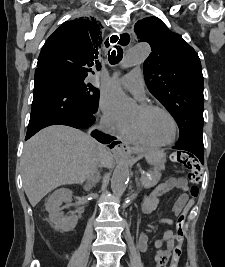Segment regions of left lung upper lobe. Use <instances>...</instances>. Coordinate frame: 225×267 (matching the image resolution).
<instances>
[{"label":"left lung upper lobe","mask_w":225,"mask_h":267,"mask_svg":"<svg viewBox=\"0 0 225 267\" xmlns=\"http://www.w3.org/2000/svg\"><path fill=\"white\" fill-rule=\"evenodd\" d=\"M134 30L139 41L151 45L144 77L149 91L176 120L180 130L177 143L202 136L203 74L198 54L157 17L139 20Z\"/></svg>","instance_id":"1"}]
</instances>
